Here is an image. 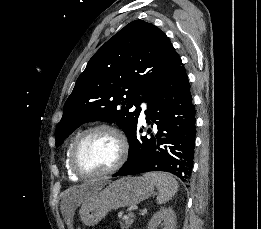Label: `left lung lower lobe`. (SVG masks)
<instances>
[{
	"label": "left lung lower lobe",
	"instance_id": "left-lung-lower-lobe-1",
	"mask_svg": "<svg viewBox=\"0 0 261 229\" xmlns=\"http://www.w3.org/2000/svg\"><path fill=\"white\" fill-rule=\"evenodd\" d=\"M145 102L148 105L146 122L151 124L152 120L158 131L155 130L154 135L141 136L143 130L136 128L129 139V158L113 177L164 171L181 180L190 178L195 145V106L182 63L154 87Z\"/></svg>",
	"mask_w": 261,
	"mask_h": 229
}]
</instances>
